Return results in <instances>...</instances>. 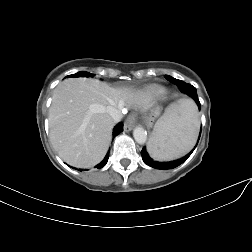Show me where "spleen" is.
<instances>
[{
  "label": "spleen",
  "mask_w": 252,
  "mask_h": 252,
  "mask_svg": "<svg viewBox=\"0 0 252 252\" xmlns=\"http://www.w3.org/2000/svg\"><path fill=\"white\" fill-rule=\"evenodd\" d=\"M198 114L194 103L180 100L156 122L148 142V152L159 161L185 155L194 146L198 134Z\"/></svg>",
  "instance_id": "spleen-1"
}]
</instances>
